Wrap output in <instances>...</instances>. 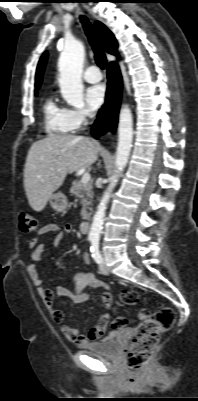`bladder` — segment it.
<instances>
[{"label":"bladder","mask_w":198,"mask_h":401,"mask_svg":"<svg viewBox=\"0 0 198 401\" xmlns=\"http://www.w3.org/2000/svg\"><path fill=\"white\" fill-rule=\"evenodd\" d=\"M117 335L118 332L113 331L101 340L85 345L84 349L92 354L116 358L121 351Z\"/></svg>","instance_id":"1"}]
</instances>
